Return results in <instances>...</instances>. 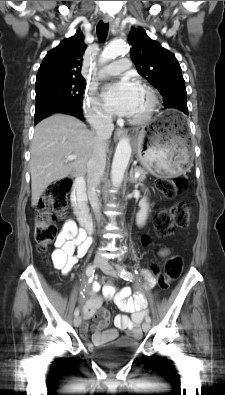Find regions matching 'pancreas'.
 Listing matches in <instances>:
<instances>
[{
	"mask_svg": "<svg viewBox=\"0 0 225 395\" xmlns=\"http://www.w3.org/2000/svg\"><path fill=\"white\" fill-rule=\"evenodd\" d=\"M135 172H140V176H139V178H138L139 181L142 182V181L145 180L147 171H145V170H144L143 168H141V167H136V168H135Z\"/></svg>",
	"mask_w": 225,
	"mask_h": 395,
	"instance_id": "pancreas-1",
	"label": "pancreas"
}]
</instances>
